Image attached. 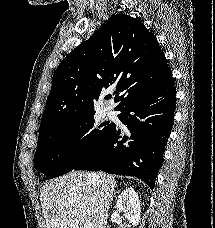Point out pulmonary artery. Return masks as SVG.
Segmentation results:
<instances>
[{
  "instance_id": "pulmonary-artery-1",
  "label": "pulmonary artery",
  "mask_w": 215,
  "mask_h": 228,
  "mask_svg": "<svg viewBox=\"0 0 215 228\" xmlns=\"http://www.w3.org/2000/svg\"><path fill=\"white\" fill-rule=\"evenodd\" d=\"M105 115L107 117H112L114 115V109L111 106L106 107Z\"/></svg>"
}]
</instances>
